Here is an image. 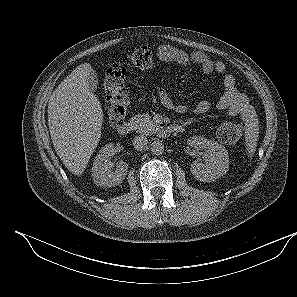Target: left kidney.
I'll return each instance as SVG.
<instances>
[{"label":"left kidney","instance_id":"obj_1","mask_svg":"<svg viewBox=\"0 0 297 297\" xmlns=\"http://www.w3.org/2000/svg\"><path fill=\"white\" fill-rule=\"evenodd\" d=\"M187 144L194 148L205 150V163L194 161L191 164V173L202 182H213L228 172L229 156L224 146L201 136H193Z\"/></svg>","mask_w":297,"mask_h":297}]
</instances>
